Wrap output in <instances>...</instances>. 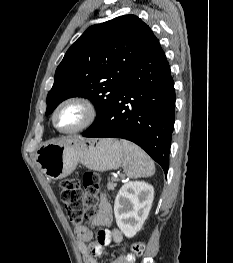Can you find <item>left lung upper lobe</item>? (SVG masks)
Segmentation results:
<instances>
[{
  "label": "left lung upper lobe",
  "mask_w": 233,
  "mask_h": 263,
  "mask_svg": "<svg viewBox=\"0 0 233 263\" xmlns=\"http://www.w3.org/2000/svg\"><path fill=\"white\" fill-rule=\"evenodd\" d=\"M156 39L148 25L125 15L89 27L68 49L47 95L46 115L63 100L81 96L96 107L94 127L114 103L137 61ZM88 129V130H89Z\"/></svg>",
  "instance_id": "1"
}]
</instances>
